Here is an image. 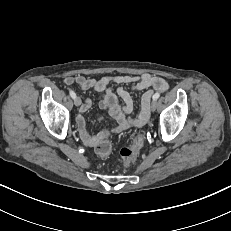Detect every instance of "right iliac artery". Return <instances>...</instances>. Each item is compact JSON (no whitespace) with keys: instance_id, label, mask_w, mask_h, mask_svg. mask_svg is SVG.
Segmentation results:
<instances>
[{"instance_id":"1","label":"right iliac artery","mask_w":231,"mask_h":231,"mask_svg":"<svg viewBox=\"0 0 231 231\" xmlns=\"http://www.w3.org/2000/svg\"><path fill=\"white\" fill-rule=\"evenodd\" d=\"M70 96L73 98V99H75L76 98V94H75V92L74 91H72V90H70Z\"/></svg>"}]
</instances>
